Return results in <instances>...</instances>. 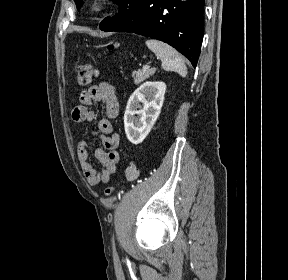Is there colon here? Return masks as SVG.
I'll return each instance as SVG.
<instances>
[{
	"mask_svg": "<svg viewBox=\"0 0 288 280\" xmlns=\"http://www.w3.org/2000/svg\"><path fill=\"white\" fill-rule=\"evenodd\" d=\"M118 45L116 43L109 44V49H114ZM97 75V70L92 64H79L75 68L74 79L82 86L89 85ZM139 176V170L134 162H129L125 169V178L127 182H134ZM114 192V187H107L105 194L110 196Z\"/></svg>",
	"mask_w": 288,
	"mask_h": 280,
	"instance_id": "obj_1",
	"label": "colon"
}]
</instances>
